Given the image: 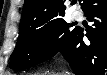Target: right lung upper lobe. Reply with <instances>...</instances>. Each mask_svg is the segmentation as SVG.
<instances>
[{
  "instance_id": "cb5924a9",
  "label": "right lung upper lobe",
  "mask_w": 107,
  "mask_h": 75,
  "mask_svg": "<svg viewBox=\"0 0 107 75\" xmlns=\"http://www.w3.org/2000/svg\"><path fill=\"white\" fill-rule=\"evenodd\" d=\"M65 9L64 0H25L20 25H43L63 18Z\"/></svg>"
}]
</instances>
